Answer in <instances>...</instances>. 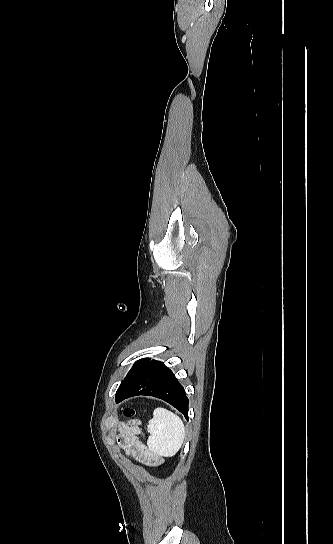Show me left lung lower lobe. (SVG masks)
<instances>
[{
  "mask_svg": "<svg viewBox=\"0 0 333 544\" xmlns=\"http://www.w3.org/2000/svg\"><path fill=\"white\" fill-rule=\"evenodd\" d=\"M147 395L173 405L188 419V398L172 371L162 362L148 361L137 375L116 393L117 403L126 398Z\"/></svg>",
  "mask_w": 333,
  "mask_h": 544,
  "instance_id": "1",
  "label": "left lung lower lobe"
}]
</instances>
